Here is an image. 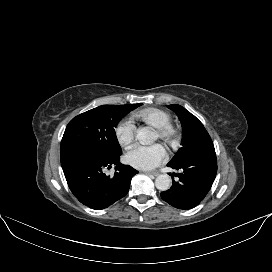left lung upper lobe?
I'll list each match as a JSON object with an SVG mask.
<instances>
[{
    "mask_svg": "<svg viewBox=\"0 0 272 272\" xmlns=\"http://www.w3.org/2000/svg\"><path fill=\"white\" fill-rule=\"evenodd\" d=\"M167 107L178 115L183 128L182 147L178 150L170 164H177L189 156L214 148L211 137L198 118L180 105L172 104Z\"/></svg>",
    "mask_w": 272,
    "mask_h": 272,
    "instance_id": "left-lung-upper-lobe-1",
    "label": "left lung upper lobe"
}]
</instances>
